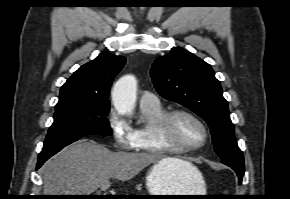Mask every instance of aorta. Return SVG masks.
I'll use <instances>...</instances> for the list:
<instances>
[{
    "label": "aorta",
    "instance_id": "762f6f07",
    "mask_svg": "<svg viewBox=\"0 0 290 199\" xmlns=\"http://www.w3.org/2000/svg\"><path fill=\"white\" fill-rule=\"evenodd\" d=\"M137 92V81L132 75L120 78L114 85L112 91V101L115 109L126 115H132Z\"/></svg>",
    "mask_w": 290,
    "mask_h": 199
}]
</instances>
